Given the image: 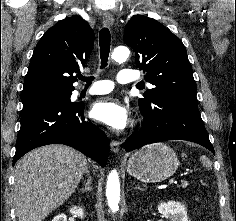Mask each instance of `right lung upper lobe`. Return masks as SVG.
Here are the masks:
<instances>
[{
  "mask_svg": "<svg viewBox=\"0 0 236 221\" xmlns=\"http://www.w3.org/2000/svg\"><path fill=\"white\" fill-rule=\"evenodd\" d=\"M94 31L80 16L58 21L34 48L23 93L45 90H74L75 74L91 54Z\"/></svg>",
  "mask_w": 236,
  "mask_h": 221,
  "instance_id": "right-lung-upper-lobe-1",
  "label": "right lung upper lobe"
}]
</instances>
